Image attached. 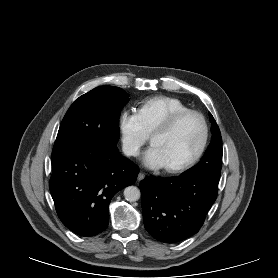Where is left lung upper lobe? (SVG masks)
<instances>
[{
  "label": "left lung upper lobe",
  "mask_w": 278,
  "mask_h": 278,
  "mask_svg": "<svg viewBox=\"0 0 278 278\" xmlns=\"http://www.w3.org/2000/svg\"><path fill=\"white\" fill-rule=\"evenodd\" d=\"M212 122V138L209 147L207 148L204 156L197 166L192 167L182 175L192 177H205L215 180L220 179L221 166H222V138L219 127L210 115Z\"/></svg>",
  "instance_id": "left-lung-upper-lobe-1"
}]
</instances>
